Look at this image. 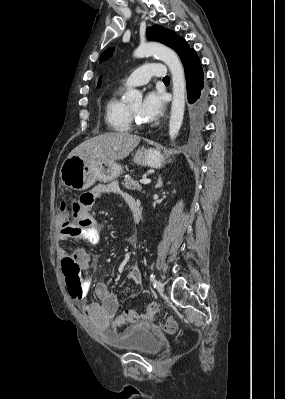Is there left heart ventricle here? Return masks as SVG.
<instances>
[{"label":"left heart ventricle","mask_w":285,"mask_h":399,"mask_svg":"<svg viewBox=\"0 0 285 399\" xmlns=\"http://www.w3.org/2000/svg\"><path fill=\"white\" fill-rule=\"evenodd\" d=\"M140 107H141V102H140V101H138V102H136V103H134V104H132V105L130 106L131 110H132L133 112H135L136 115L143 121V119L141 118L140 113H139Z\"/></svg>","instance_id":"1"}]
</instances>
